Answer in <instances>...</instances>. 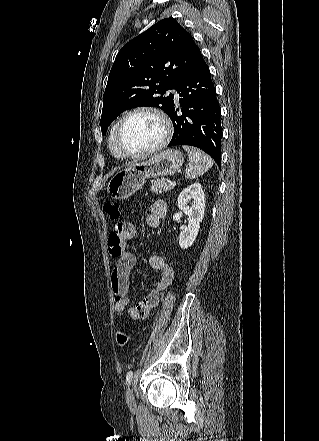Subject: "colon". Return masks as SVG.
Listing matches in <instances>:
<instances>
[{"label":"colon","instance_id":"5ec220e1","mask_svg":"<svg viewBox=\"0 0 319 441\" xmlns=\"http://www.w3.org/2000/svg\"><path fill=\"white\" fill-rule=\"evenodd\" d=\"M103 210L108 216L109 220L117 223L121 218L120 204L116 201H107L103 205ZM117 344L121 348H128L130 346V335L128 331L121 329L116 334Z\"/></svg>","mask_w":319,"mask_h":441}]
</instances>
